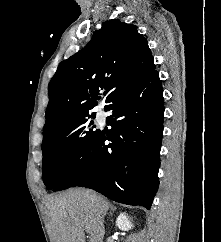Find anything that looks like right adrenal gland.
Instances as JSON below:
<instances>
[{"label": "right adrenal gland", "mask_w": 221, "mask_h": 242, "mask_svg": "<svg viewBox=\"0 0 221 242\" xmlns=\"http://www.w3.org/2000/svg\"><path fill=\"white\" fill-rule=\"evenodd\" d=\"M116 209H117L116 207H114V206L111 205L109 216H112V213H113L114 211H116Z\"/></svg>", "instance_id": "right-adrenal-gland-1"}]
</instances>
